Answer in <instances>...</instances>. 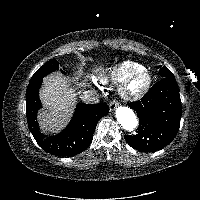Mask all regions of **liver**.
Here are the masks:
<instances>
[{
    "label": "liver",
    "instance_id": "6515ba94",
    "mask_svg": "<svg viewBox=\"0 0 200 200\" xmlns=\"http://www.w3.org/2000/svg\"><path fill=\"white\" fill-rule=\"evenodd\" d=\"M39 96L47 108L38 113L40 126L45 131L58 132L67 124L73 113L76 99L73 87L61 73H52L43 79Z\"/></svg>",
    "mask_w": 200,
    "mask_h": 200
}]
</instances>
